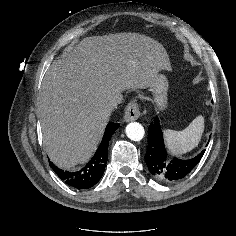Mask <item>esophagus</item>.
Returning a JSON list of instances; mask_svg holds the SVG:
<instances>
[{
    "label": "esophagus",
    "instance_id": "obj_1",
    "mask_svg": "<svg viewBox=\"0 0 236 236\" xmlns=\"http://www.w3.org/2000/svg\"><path fill=\"white\" fill-rule=\"evenodd\" d=\"M139 104L136 101H131L125 109L124 121H135L140 117Z\"/></svg>",
    "mask_w": 236,
    "mask_h": 236
}]
</instances>
